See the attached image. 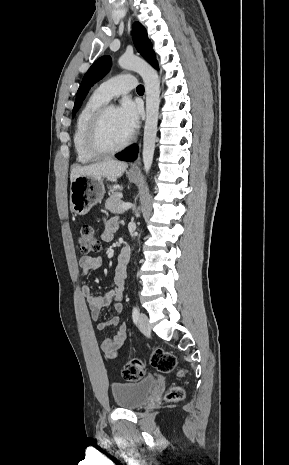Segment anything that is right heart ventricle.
Here are the masks:
<instances>
[{
    "instance_id": "1",
    "label": "right heart ventricle",
    "mask_w": 289,
    "mask_h": 465,
    "mask_svg": "<svg viewBox=\"0 0 289 465\" xmlns=\"http://www.w3.org/2000/svg\"><path fill=\"white\" fill-rule=\"evenodd\" d=\"M105 102L106 101L100 98L97 92H95L88 99L77 116L73 133V146L76 158L81 163H89L99 157L88 151L85 143V135L90 118Z\"/></svg>"
}]
</instances>
